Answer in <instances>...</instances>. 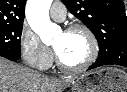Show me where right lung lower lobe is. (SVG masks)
Segmentation results:
<instances>
[{
  "instance_id": "obj_1",
  "label": "right lung lower lobe",
  "mask_w": 127,
  "mask_h": 92,
  "mask_svg": "<svg viewBox=\"0 0 127 92\" xmlns=\"http://www.w3.org/2000/svg\"><path fill=\"white\" fill-rule=\"evenodd\" d=\"M0 56L5 57L12 61L18 60L20 58V54L7 53L3 50H0Z\"/></svg>"
}]
</instances>
